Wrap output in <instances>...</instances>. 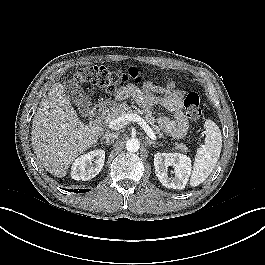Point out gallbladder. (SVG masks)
<instances>
[{
    "label": "gallbladder",
    "instance_id": "1",
    "mask_svg": "<svg viewBox=\"0 0 265 265\" xmlns=\"http://www.w3.org/2000/svg\"><path fill=\"white\" fill-rule=\"evenodd\" d=\"M64 89L70 101L78 107L81 116L88 117L92 102L81 86L74 80H67L64 83Z\"/></svg>",
    "mask_w": 265,
    "mask_h": 265
}]
</instances>
